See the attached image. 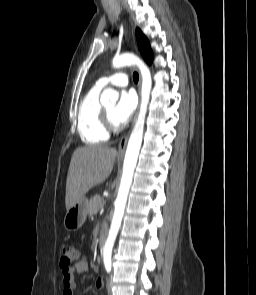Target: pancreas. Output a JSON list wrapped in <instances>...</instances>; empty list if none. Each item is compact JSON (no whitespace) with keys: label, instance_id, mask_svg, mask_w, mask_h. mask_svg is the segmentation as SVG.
<instances>
[{"label":"pancreas","instance_id":"cf45deb5","mask_svg":"<svg viewBox=\"0 0 256 295\" xmlns=\"http://www.w3.org/2000/svg\"><path fill=\"white\" fill-rule=\"evenodd\" d=\"M104 206V202L99 195L94 196L90 199L87 207V213L93 215L97 213Z\"/></svg>","mask_w":256,"mask_h":295}]
</instances>
